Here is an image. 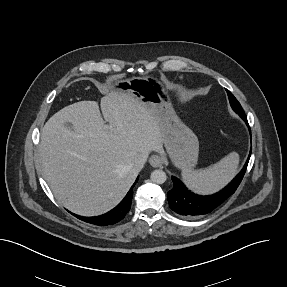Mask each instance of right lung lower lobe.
<instances>
[{"label": "right lung lower lobe", "mask_w": 287, "mask_h": 287, "mask_svg": "<svg viewBox=\"0 0 287 287\" xmlns=\"http://www.w3.org/2000/svg\"><path fill=\"white\" fill-rule=\"evenodd\" d=\"M136 183V182H135ZM135 185V184H134ZM129 190L125 198L111 211L95 217H83L74 214L78 219L98 226H108L121 221L128 213L133 198V187Z\"/></svg>", "instance_id": "right-lung-lower-lobe-1"}]
</instances>
